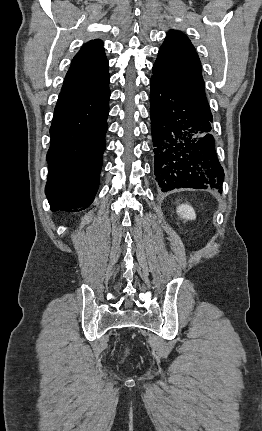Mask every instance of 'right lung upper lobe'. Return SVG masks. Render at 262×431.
Here are the masks:
<instances>
[{"label":"right lung upper lobe","mask_w":262,"mask_h":431,"mask_svg":"<svg viewBox=\"0 0 262 431\" xmlns=\"http://www.w3.org/2000/svg\"><path fill=\"white\" fill-rule=\"evenodd\" d=\"M108 61L100 40L86 43L72 60L61 92H98L109 84Z\"/></svg>","instance_id":"right-lung-upper-lobe-1"}]
</instances>
